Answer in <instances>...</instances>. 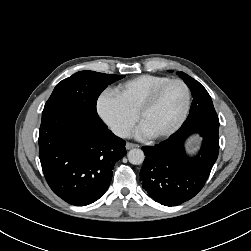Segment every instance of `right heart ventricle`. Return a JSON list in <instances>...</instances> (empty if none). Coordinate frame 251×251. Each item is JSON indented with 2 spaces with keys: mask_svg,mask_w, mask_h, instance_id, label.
<instances>
[{
  "mask_svg": "<svg viewBox=\"0 0 251 251\" xmlns=\"http://www.w3.org/2000/svg\"><path fill=\"white\" fill-rule=\"evenodd\" d=\"M169 79L167 76L160 75H140L119 84L115 92L127 108L136 114L138 108L150 93Z\"/></svg>",
  "mask_w": 251,
  "mask_h": 251,
  "instance_id": "1",
  "label": "right heart ventricle"
}]
</instances>
